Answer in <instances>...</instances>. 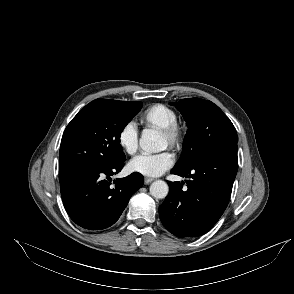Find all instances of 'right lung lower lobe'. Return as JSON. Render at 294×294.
<instances>
[{
	"mask_svg": "<svg viewBox=\"0 0 294 294\" xmlns=\"http://www.w3.org/2000/svg\"><path fill=\"white\" fill-rule=\"evenodd\" d=\"M124 161L98 167H82L59 172L61 197L70 218L89 230H101L113 225L126 208L128 201L144 183L141 174L134 172L114 180Z\"/></svg>",
	"mask_w": 294,
	"mask_h": 294,
	"instance_id": "obj_1",
	"label": "right lung lower lobe"
}]
</instances>
